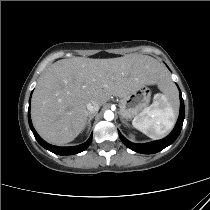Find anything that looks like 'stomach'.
Listing matches in <instances>:
<instances>
[{"label": "stomach", "instance_id": "0dacf381", "mask_svg": "<svg viewBox=\"0 0 210 210\" xmlns=\"http://www.w3.org/2000/svg\"><path fill=\"white\" fill-rule=\"evenodd\" d=\"M151 92L147 86L132 92L120 100L121 118L130 120L138 117L150 102Z\"/></svg>", "mask_w": 210, "mask_h": 210}]
</instances>
